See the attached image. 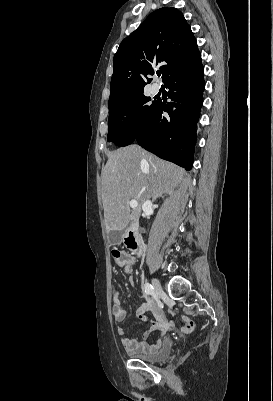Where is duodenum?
<instances>
[{"label":"duodenum","instance_id":"410a0bca","mask_svg":"<svg viewBox=\"0 0 273 401\" xmlns=\"http://www.w3.org/2000/svg\"><path fill=\"white\" fill-rule=\"evenodd\" d=\"M124 243L135 256H139L143 252V243L139 235V225L137 222H132L128 226L124 235Z\"/></svg>","mask_w":273,"mask_h":401}]
</instances>
